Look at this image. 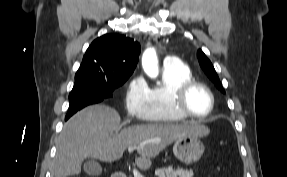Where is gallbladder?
<instances>
[{"label":"gallbladder","mask_w":287,"mask_h":177,"mask_svg":"<svg viewBox=\"0 0 287 177\" xmlns=\"http://www.w3.org/2000/svg\"><path fill=\"white\" fill-rule=\"evenodd\" d=\"M84 171L90 176H98L101 174L102 168L95 159H90L85 162Z\"/></svg>","instance_id":"gallbladder-1"}]
</instances>
